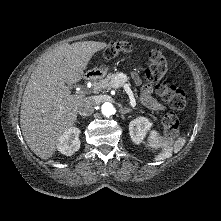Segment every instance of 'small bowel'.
<instances>
[{
	"label": "small bowel",
	"mask_w": 221,
	"mask_h": 221,
	"mask_svg": "<svg viewBox=\"0 0 221 221\" xmlns=\"http://www.w3.org/2000/svg\"><path fill=\"white\" fill-rule=\"evenodd\" d=\"M133 79L137 84H141V79L138 73L133 72ZM152 88L149 85H143L141 89V100L145 106L152 110L162 111L165 109L164 105L158 102L151 96Z\"/></svg>",
	"instance_id": "obj_1"
}]
</instances>
